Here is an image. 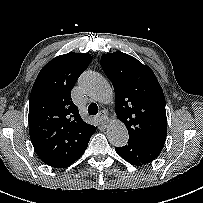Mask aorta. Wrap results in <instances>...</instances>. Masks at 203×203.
<instances>
[{
    "label": "aorta",
    "instance_id": "1",
    "mask_svg": "<svg viewBox=\"0 0 203 203\" xmlns=\"http://www.w3.org/2000/svg\"><path fill=\"white\" fill-rule=\"evenodd\" d=\"M79 86L84 94L102 104L114 102V92L107 80L96 72L84 73ZM108 141L116 147H123L128 142V131L120 120H113L109 123L106 131Z\"/></svg>",
    "mask_w": 203,
    "mask_h": 203
}]
</instances>
